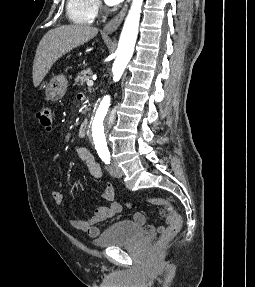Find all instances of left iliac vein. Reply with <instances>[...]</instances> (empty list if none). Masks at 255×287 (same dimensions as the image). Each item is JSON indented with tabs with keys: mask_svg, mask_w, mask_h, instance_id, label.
Returning <instances> with one entry per match:
<instances>
[{
	"mask_svg": "<svg viewBox=\"0 0 255 287\" xmlns=\"http://www.w3.org/2000/svg\"><path fill=\"white\" fill-rule=\"evenodd\" d=\"M108 171L114 177L121 178L123 176L122 169L113 163L108 166Z\"/></svg>",
	"mask_w": 255,
	"mask_h": 287,
	"instance_id": "left-iliac-vein-1",
	"label": "left iliac vein"
}]
</instances>
